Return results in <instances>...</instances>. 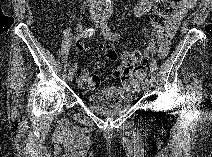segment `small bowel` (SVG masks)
<instances>
[{"mask_svg":"<svg viewBox=\"0 0 212 157\" xmlns=\"http://www.w3.org/2000/svg\"><path fill=\"white\" fill-rule=\"evenodd\" d=\"M153 2L151 0H143L139 2L135 8V14L141 15L145 12L149 11L152 7ZM195 1L194 0H180L177 3L174 13L167 20L166 25L164 27L165 36L159 41V56L165 57L168 52L169 42L174 32L176 31L178 25L180 24L182 18L187 13L188 10L194 8ZM76 49L79 52H89L91 50L90 46L81 41L77 40L75 42ZM143 77H140L135 80H131L127 83H123V87L126 89H137L140 86L141 80Z\"/></svg>","mask_w":212,"mask_h":157,"instance_id":"1","label":"small bowel"}]
</instances>
